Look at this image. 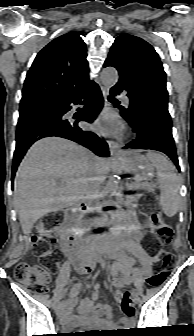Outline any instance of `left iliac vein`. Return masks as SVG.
I'll return each instance as SVG.
<instances>
[{
	"instance_id": "1",
	"label": "left iliac vein",
	"mask_w": 194,
	"mask_h": 336,
	"mask_svg": "<svg viewBox=\"0 0 194 336\" xmlns=\"http://www.w3.org/2000/svg\"><path fill=\"white\" fill-rule=\"evenodd\" d=\"M132 294H133V296H134V302H135L136 304H139V303H140V298L137 296V293L133 290V291H132Z\"/></svg>"
}]
</instances>
